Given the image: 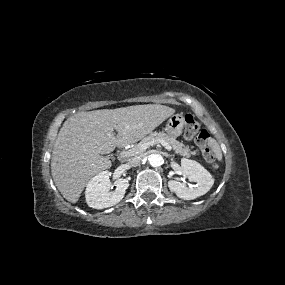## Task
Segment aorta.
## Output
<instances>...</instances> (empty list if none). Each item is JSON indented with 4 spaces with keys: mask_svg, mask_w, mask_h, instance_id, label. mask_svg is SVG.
<instances>
[{
    "mask_svg": "<svg viewBox=\"0 0 285 285\" xmlns=\"http://www.w3.org/2000/svg\"><path fill=\"white\" fill-rule=\"evenodd\" d=\"M164 160L160 154H151L149 156V163L153 167H159L163 164Z\"/></svg>",
    "mask_w": 285,
    "mask_h": 285,
    "instance_id": "1",
    "label": "aorta"
}]
</instances>
